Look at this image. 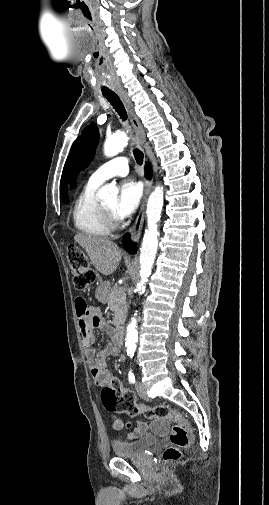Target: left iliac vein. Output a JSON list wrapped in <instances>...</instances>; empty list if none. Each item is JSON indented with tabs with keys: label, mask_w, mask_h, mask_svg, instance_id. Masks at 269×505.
Instances as JSON below:
<instances>
[{
	"label": "left iliac vein",
	"mask_w": 269,
	"mask_h": 505,
	"mask_svg": "<svg viewBox=\"0 0 269 505\" xmlns=\"http://www.w3.org/2000/svg\"><path fill=\"white\" fill-rule=\"evenodd\" d=\"M136 391L140 397L146 398L145 386L142 382L140 381L136 382Z\"/></svg>",
	"instance_id": "obj_1"
}]
</instances>
